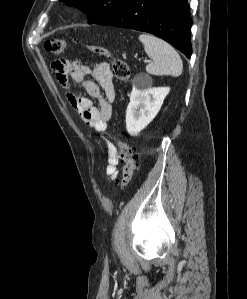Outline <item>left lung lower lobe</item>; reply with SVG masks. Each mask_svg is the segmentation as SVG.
Here are the masks:
<instances>
[{
	"instance_id": "left-lung-lower-lobe-1",
	"label": "left lung lower lobe",
	"mask_w": 247,
	"mask_h": 299,
	"mask_svg": "<svg viewBox=\"0 0 247 299\" xmlns=\"http://www.w3.org/2000/svg\"><path fill=\"white\" fill-rule=\"evenodd\" d=\"M94 24L148 32L172 44L190 58V17L187 0H121Z\"/></svg>"
}]
</instances>
